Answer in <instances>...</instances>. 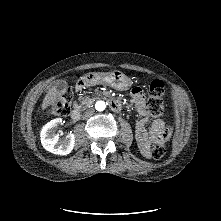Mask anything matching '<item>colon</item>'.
I'll return each instance as SVG.
<instances>
[{
	"label": "colon",
	"instance_id": "obj_1",
	"mask_svg": "<svg viewBox=\"0 0 221 221\" xmlns=\"http://www.w3.org/2000/svg\"><path fill=\"white\" fill-rule=\"evenodd\" d=\"M165 94L164 84L153 81L148 90L147 108L151 115L161 117L164 114L163 96ZM72 94L68 90L64 92L59 100L49 108V113L56 116H66L71 111ZM165 154L163 143H157L149 150V156L153 159H160Z\"/></svg>",
	"mask_w": 221,
	"mask_h": 221
}]
</instances>
